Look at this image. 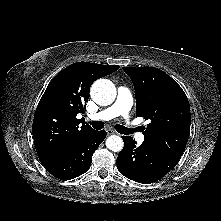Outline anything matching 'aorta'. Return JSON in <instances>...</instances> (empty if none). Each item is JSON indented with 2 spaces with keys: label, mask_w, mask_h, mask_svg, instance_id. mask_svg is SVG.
I'll return each mask as SVG.
<instances>
[{
  "label": "aorta",
  "mask_w": 221,
  "mask_h": 221,
  "mask_svg": "<svg viewBox=\"0 0 221 221\" xmlns=\"http://www.w3.org/2000/svg\"><path fill=\"white\" fill-rule=\"evenodd\" d=\"M90 94L92 99L100 106H107L116 98L115 85L107 79H99L91 86ZM124 143L121 137L111 135L106 139V147L113 152H120Z\"/></svg>",
  "instance_id": "762f6f07"
}]
</instances>
